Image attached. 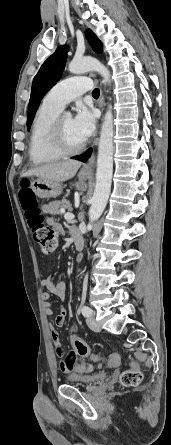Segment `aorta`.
<instances>
[{
    "label": "aorta",
    "instance_id": "762f6f07",
    "mask_svg": "<svg viewBox=\"0 0 171 445\" xmlns=\"http://www.w3.org/2000/svg\"><path fill=\"white\" fill-rule=\"evenodd\" d=\"M69 71L73 74H81L88 71L98 72L107 84H110V72L100 61L92 57L73 59L69 64ZM113 114L109 105L101 126L100 140L98 144L96 186L89 209V221L98 220L102 215L111 190L113 174Z\"/></svg>",
    "mask_w": 171,
    "mask_h": 445
}]
</instances>
